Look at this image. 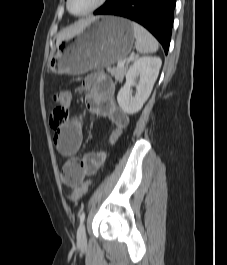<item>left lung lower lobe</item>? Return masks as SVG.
<instances>
[{"instance_id": "1", "label": "left lung lower lobe", "mask_w": 227, "mask_h": 265, "mask_svg": "<svg viewBox=\"0 0 227 265\" xmlns=\"http://www.w3.org/2000/svg\"><path fill=\"white\" fill-rule=\"evenodd\" d=\"M175 4L176 0H108L94 14L117 15L138 22L157 38L167 54Z\"/></svg>"}]
</instances>
